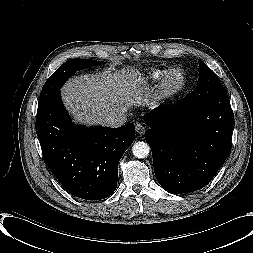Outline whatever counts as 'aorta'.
I'll return each instance as SVG.
<instances>
[{"label": "aorta", "instance_id": "1", "mask_svg": "<svg viewBox=\"0 0 253 253\" xmlns=\"http://www.w3.org/2000/svg\"><path fill=\"white\" fill-rule=\"evenodd\" d=\"M133 155L137 158H146L150 152V147L146 142H135L132 147Z\"/></svg>", "mask_w": 253, "mask_h": 253}]
</instances>
